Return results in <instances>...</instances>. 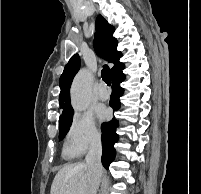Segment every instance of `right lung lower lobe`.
I'll use <instances>...</instances> for the list:
<instances>
[{
  "label": "right lung lower lobe",
  "mask_w": 201,
  "mask_h": 194,
  "mask_svg": "<svg viewBox=\"0 0 201 194\" xmlns=\"http://www.w3.org/2000/svg\"><path fill=\"white\" fill-rule=\"evenodd\" d=\"M125 79V75L122 70L112 76V94L110 98V106L113 110L120 108L119 97L123 94L124 89L119 86ZM118 127V121L113 118L111 121L102 124V164L108 169L109 165L115 158L114 144L118 141V135L116 134V128Z\"/></svg>",
  "instance_id": "right-lung-lower-lobe-1"
}]
</instances>
